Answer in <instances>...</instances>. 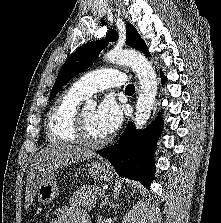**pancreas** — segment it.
<instances>
[{"mask_svg": "<svg viewBox=\"0 0 221 223\" xmlns=\"http://www.w3.org/2000/svg\"><path fill=\"white\" fill-rule=\"evenodd\" d=\"M102 192L101 188L97 186H82L75 191L69 200L71 206H83L88 211H92L96 202V194Z\"/></svg>", "mask_w": 221, "mask_h": 223, "instance_id": "1", "label": "pancreas"}]
</instances>
